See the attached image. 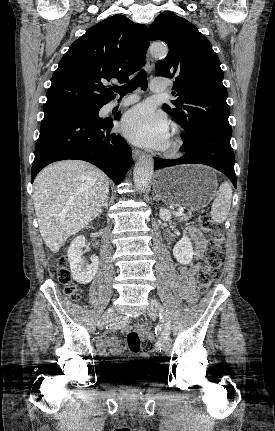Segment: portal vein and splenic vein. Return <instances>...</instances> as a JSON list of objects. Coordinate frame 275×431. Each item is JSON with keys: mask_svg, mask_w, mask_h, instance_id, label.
<instances>
[{"mask_svg": "<svg viewBox=\"0 0 275 431\" xmlns=\"http://www.w3.org/2000/svg\"><path fill=\"white\" fill-rule=\"evenodd\" d=\"M173 214L174 215H176V216H181V215H183V213L181 212V211H173Z\"/></svg>", "mask_w": 275, "mask_h": 431, "instance_id": "18ae733b", "label": "portal vein and splenic vein"}]
</instances>
